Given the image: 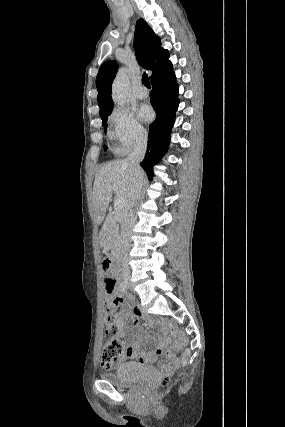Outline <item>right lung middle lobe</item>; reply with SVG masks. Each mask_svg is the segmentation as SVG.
Returning <instances> with one entry per match:
<instances>
[{
    "label": "right lung middle lobe",
    "instance_id": "obj_1",
    "mask_svg": "<svg viewBox=\"0 0 285 427\" xmlns=\"http://www.w3.org/2000/svg\"><path fill=\"white\" fill-rule=\"evenodd\" d=\"M106 122H107V118L102 119V123H103V125L105 126V130H106V128H107ZM105 149H106V146H105Z\"/></svg>",
    "mask_w": 285,
    "mask_h": 427
}]
</instances>
